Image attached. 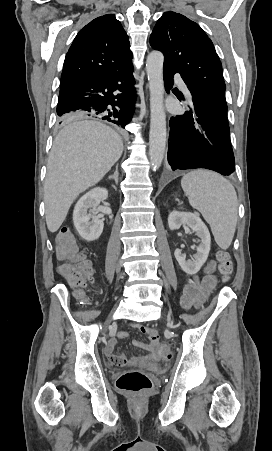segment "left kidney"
Returning a JSON list of instances; mask_svg holds the SVG:
<instances>
[{
	"label": "left kidney",
	"instance_id": "1",
	"mask_svg": "<svg viewBox=\"0 0 272 451\" xmlns=\"http://www.w3.org/2000/svg\"><path fill=\"white\" fill-rule=\"evenodd\" d=\"M183 224L196 231L195 235L200 237L201 243L196 247L197 253H194L192 259H186L185 253H181V249H178V247L175 249L174 255L183 271H186L189 275H193V273H197L201 269L209 255L211 237L208 227L205 226L204 222L196 214H191V212H176V210L169 214L168 226L170 229H179Z\"/></svg>",
	"mask_w": 272,
	"mask_h": 451
}]
</instances>
